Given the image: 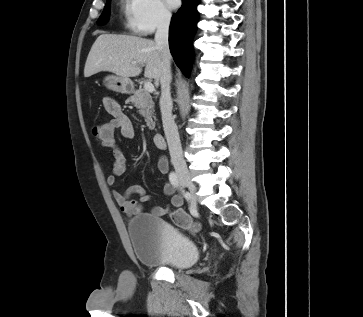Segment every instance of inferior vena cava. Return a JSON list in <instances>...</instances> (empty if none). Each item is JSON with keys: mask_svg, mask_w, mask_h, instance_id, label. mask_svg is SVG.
I'll return each mask as SVG.
<instances>
[{"mask_svg": "<svg viewBox=\"0 0 363 317\" xmlns=\"http://www.w3.org/2000/svg\"><path fill=\"white\" fill-rule=\"evenodd\" d=\"M170 21V14L162 15L159 19L155 34V43L162 55V74L160 77L161 97L159 103L171 162L176 171L187 172L188 169L183 158L178 129L172 116V99L170 93V83L172 80L171 53L168 43Z\"/></svg>", "mask_w": 363, "mask_h": 317, "instance_id": "inferior-vena-cava-1", "label": "inferior vena cava"}]
</instances>
